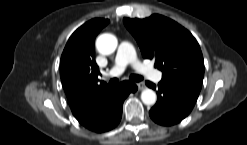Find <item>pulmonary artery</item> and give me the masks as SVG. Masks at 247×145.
I'll return each mask as SVG.
<instances>
[{
  "instance_id": "e3ab8cb5",
  "label": "pulmonary artery",
  "mask_w": 247,
  "mask_h": 145,
  "mask_svg": "<svg viewBox=\"0 0 247 145\" xmlns=\"http://www.w3.org/2000/svg\"><path fill=\"white\" fill-rule=\"evenodd\" d=\"M128 64H131L139 73L152 79L155 82L161 80L162 73L148 65L142 64L136 57L134 47L129 42H122L115 57L112 68L107 73L109 77H116L122 74Z\"/></svg>"
}]
</instances>
